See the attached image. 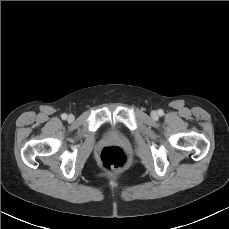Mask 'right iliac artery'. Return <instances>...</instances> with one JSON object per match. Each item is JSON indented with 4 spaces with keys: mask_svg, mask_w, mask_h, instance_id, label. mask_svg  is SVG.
<instances>
[{
    "mask_svg": "<svg viewBox=\"0 0 229 229\" xmlns=\"http://www.w3.org/2000/svg\"><path fill=\"white\" fill-rule=\"evenodd\" d=\"M61 118H62L63 120H65V119L67 118V115H66V114H62V115H61Z\"/></svg>",
    "mask_w": 229,
    "mask_h": 229,
    "instance_id": "82829eb1",
    "label": "right iliac artery"
}]
</instances>
